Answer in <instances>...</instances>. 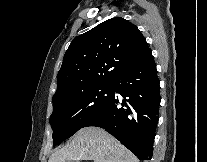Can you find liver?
I'll list each match as a JSON object with an SVG mask.
<instances>
[{
  "label": "liver",
  "instance_id": "6515ba94",
  "mask_svg": "<svg viewBox=\"0 0 207 162\" xmlns=\"http://www.w3.org/2000/svg\"><path fill=\"white\" fill-rule=\"evenodd\" d=\"M139 162L137 157L117 139L99 127L80 129L61 149L56 150L48 162Z\"/></svg>",
  "mask_w": 207,
  "mask_h": 162
}]
</instances>
